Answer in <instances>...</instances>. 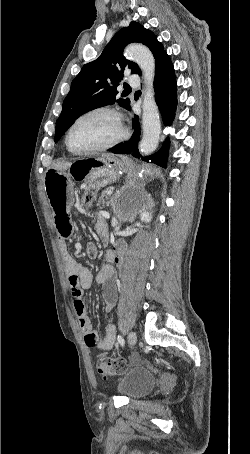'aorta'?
Instances as JSON below:
<instances>
[{
	"label": "aorta",
	"mask_w": 250,
	"mask_h": 454,
	"mask_svg": "<svg viewBox=\"0 0 250 454\" xmlns=\"http://www.w3.org/2000/svg\"><path fill=\"white\" fill-rule=\"evenodd\" d=\"M125 55L139 65L144 78L143 137L139 144V150L142 154L149 155L157 148L161 134L159 111L153 87L155 60L146 46L137 43L128 45L125 49Z\"/></svg>",
	"instance_id": "aorta-1"
}]
</instances>
